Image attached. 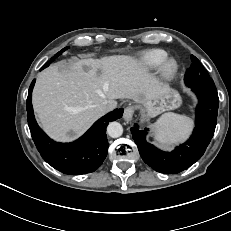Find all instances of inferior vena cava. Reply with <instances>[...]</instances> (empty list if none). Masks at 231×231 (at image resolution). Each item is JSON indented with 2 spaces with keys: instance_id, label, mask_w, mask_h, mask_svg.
I'll list each match as a JSON object with an SVG mask.
<instances>
[{
  "instance_id": "602c4592",
  "label": "inferior vena cava",
  "mask_w": 231,
  "mask_h": 231,
  "mask_svg": "<svg viewBox=\"0 0 231 231\" xmlns=\"http://www.w3.org/2000/svg\"><path fill=\"white\" fill-rule=\"evenodd\" d=\"M112 109V106L110 105V103L108 101H103L100 105V110L103 112H106L108 110Z\"/></svg>"
}]
</instances>
